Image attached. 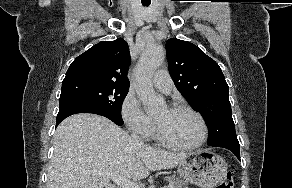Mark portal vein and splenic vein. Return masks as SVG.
<instances>
[{"label":"portal vein and splenic vein","mask_w":292,"mask_h":188,"mask_svg":"<svg viewBox=\"0 0 292 188\" xmlns=\"http://www.w3.org/2000/svg\"><path fill=\"white\" fill-rule=\"evenodd\" d=\"M92 173L98 174L100 172L98 170H93ZM111 179L120 188H143V185L135 183V182H133L125 177L111 175ZM161 188H166V186L161 187Z\"/></svg>","instance_id":"1"}]
</instances>
